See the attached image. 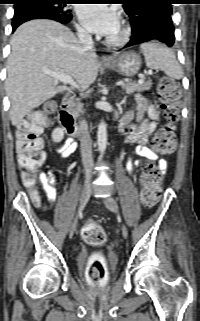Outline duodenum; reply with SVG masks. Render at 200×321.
Returning <instances> with one entry per match:
<instances>
[{
	"mask_svg": "<svg viewBox=\"0 0 200 321\" xmlns=\"http://www.w3.org/2000/svg\"><path fill=\"white\" fill-rule=\"evenodd\" d=\"M73 101V94H65L62 98L60 110L58 113V119L62 128L69 134H76L79 130V127L76 125L73 115L71 113Z\"/></svg>",
	"mask_w": 200,
	"mask_h": 321,
	"instance_id": "duodenum-1",
	"label": "duodenum"
}]
</instances>
